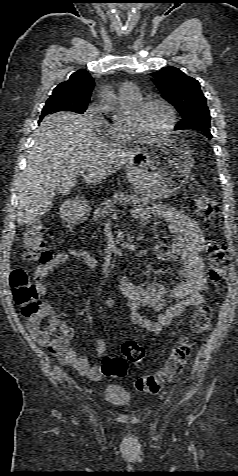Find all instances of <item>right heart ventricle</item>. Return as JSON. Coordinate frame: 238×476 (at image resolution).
I'll return each instance as SVG.
<instances>
[{
    "mask_svg": "<svg viewBox=\"0 0 238 476\" xmlns=\"http://www.w3.org/2000/svg\"><path fill=\"white\" fill-rule=\"evenodd\" d=\"M121 101L127 109H132L141 101V98H130L121 95ZM110 128L112 131L111 139L114 140L116 144H122L132 139V135L127 128L126 119L124 117L115 119L110 125Z\"/></svg>",
    "mask_w": 238,
    "mask_h": 476,
    "instance_id": "obj_1",
    "label": "right heart ventricle"
}]
</instances>
